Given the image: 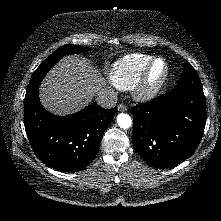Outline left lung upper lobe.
I'll return each mask as SVG.
<instances>
[{
    "instance_id": "5c2ea615",
    "label": "left lung upper lobe",
    "mask_w": 221,
    "mask_h": 221,
    "mask_svg": "<svg viewBox=\"0 0 221 221\" xmlns=\"http://www.w3.org/2000/svg\"><path fill=\"white\" fill-rule=\"evenodd\" d=\"M174 91H190L203 94V88L200 79L189 62H186L177 86Z\"/></svg>"
}]
</instances>
